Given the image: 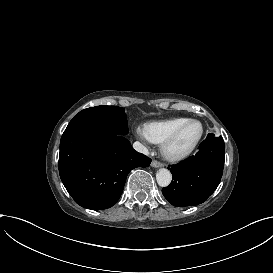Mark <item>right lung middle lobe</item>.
Here are the masks:
<instances>
[{
    "label": "right lung middle lobe",
    "mask_w": 273,
    "mask_h": 273,
    "mask_svg": "<svg viewBox=\"0 0 273 273\" xmlns=\"http://www.w3.org/2000/svg\"><path fill=\"white\" fill-rule=\"evenodd\" d=\"M78 126H92L118 135L128 134L124 108L116 106H96L84 109L73 117L66 129Z\"/></svg>",
    "instance_id": "right-lung-middle-lobe-1"
}]
</instances>
